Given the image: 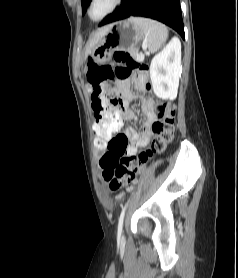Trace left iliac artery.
<instances>
[{
	"label": "left iliac artery",
	"instance_id": "obj_1",
	"mask_svg": "<svg viewBox=\"0 0 238 278\" xmlns=\"http://www.w3.org/2000/svg\"><path fill=\"white\" fill-rule=\"evenodd\" d=\"M127 204L122 209V212L119 217V223H118V236L121 235L122 233V226H123V220H124V215H125V210H126Z\"/></svg>",
	"mask_w": 238,
	"mask_h": 278
}]
</instances>
